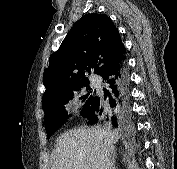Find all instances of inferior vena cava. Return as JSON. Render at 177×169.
<instances>
[{"mask_svg": "<svg viewBox=\"0 0 177 169\" xmlns=\"http://www.w3.org/2000/svg\"><path fill=\"white\" fill-rule=\"evenodd\" d=\"M100 132L104 135V158H105V169H111V160H110V154L113 151V144L112 142L107 138L106 132L100 130Z\"/></svg>", "mask_w": 177, "mask_h": 169, "instance_id": "602c4592", "label": "inferior vena cava"}]
</instances>
